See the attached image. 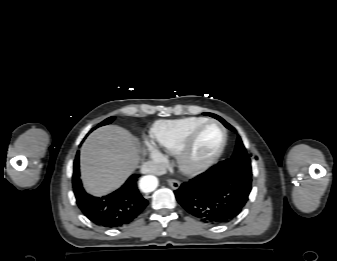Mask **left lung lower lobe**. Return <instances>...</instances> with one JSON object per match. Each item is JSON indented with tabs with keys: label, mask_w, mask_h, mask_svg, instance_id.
Here are the masks:
<instances>
[{
	"label": "left lung lower lobe",
	"mask_w": 337,
	"mask_h": 261,
	"mask_svg": "<svg viewBox=\"0 0 337 261\" xmlns=\"http://www.w3.org/2000/svg\"><path fill=\"white\" fill-rule=\"evenodd\" d=\"M251 182L229 166L219 164L183 183L174 191L191 215L213 225L228 223L244 208Z\"/></svg>",
	"instance_id": "left-lung-lower-lobe-1"
}]
</instances>
